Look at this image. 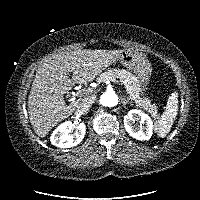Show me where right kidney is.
I'll return each instance as SVG.
<instances>
[{
    "mask_svg": "<svg viewBox=\"0 0 200 200\" xmlns=\"http://www.w3.org/2000/svg\"><path fill=\"white\" fill-rule=\"evenodd\" d=\"M71 121H65L60 124L52 133L50 137L51 143L59 148H71L78 145L84 138L86 132V125L84 122L76 125L74 134H70L73 129Z\"/></svg>",
    "mask_w": 200,
    "mask_h": 200,
    "instance_id": "ca27d5eb",
    "label": "right kidney"
}]
</instances>
